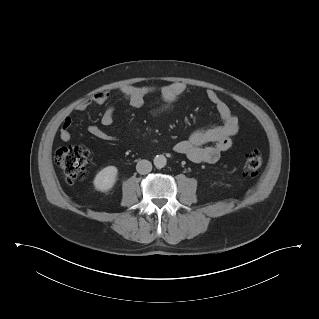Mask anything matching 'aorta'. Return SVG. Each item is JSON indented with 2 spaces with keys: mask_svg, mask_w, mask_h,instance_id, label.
Segmentation results:
<instances>
[{
  "mask_svg": "<svg viewBox=\"0 0 319 319\" xmlns=\"http://www.w3.org/2000/svg\"><path fill=\"white\" fill-rule=\"evenodd\" d=\"M153 161L156 168H163L167 163V159L164 155H156Z\"/></svg>",
  "mask_w": 319,
  "mask_h": 319,
  "instance_id": "1",
  "label": "aorta"
}]
</instances>
